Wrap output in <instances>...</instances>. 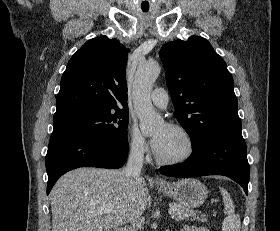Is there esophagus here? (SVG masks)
Returning <instances> with one entry per match:
<instances>
[{"instance_id":"34e87169","label":"esophagus","mask_w":280,"mask_h":231,"mask_svg":"<svg viewBox=\"0 0 280 231\" xmlns=\"http://www.w3.org/2000/svg\"><path fill=\"white\" fill-rule=\"evenodd\" d=\"M153 180H154V181H161V180H162V178H160V177L156 176Z\"/></svg>"}]
</instances>
